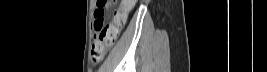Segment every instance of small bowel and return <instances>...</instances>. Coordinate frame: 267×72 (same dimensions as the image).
Wrapping results in <instances>:
<instances>
[{"instance_id": "c3829d8e", "label": "small bowel", "mask_w": 267, "mask_h": 72, "mask_svg": "<svg viewBox=\"0 0 267 72\" xmlns=\"http://www.w3.org/2000/svg\"><path fill=\"white\" fill-rule=\"evenodd\" d=\"M134 3L135 1L133 0L122 1L120 8H122L123 14L113 16L112 22H115L120 27V29L124 26L126 19H127V15L132 10Z\"/></svg>"}]
</instances>
